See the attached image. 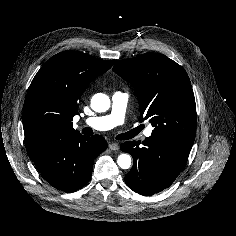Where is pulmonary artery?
Returning a JSON list of instances; mask_svg holds the SVG:
<instances>
[{
    "label": "pulmonary artery",
    "instance_id": "e3ab8cb5",
    "mask_svg": "<svg viewBox=\"0 0 236 236\" xmlns=\"http://www.w3.org/2000/svg\"><path fill=\"white\" fill-rule=\"evenodd\" d=\"M128 102L129 95L127 93L116 92L112 96L111 110L108 114L87 118L84 120V123L93 127L94 129L103 131L121 125L125 119V112ZM143 134L145 137H150L152 134V129H146Z\"/></svg>",
    "mask_w": 236,
    "mask_h": 236
}]
</instances>
